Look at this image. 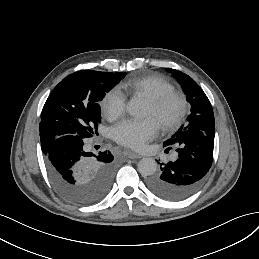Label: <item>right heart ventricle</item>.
Returning <instances> with one entry per match:
<instances>
[{
    "instance_id": "obj_1",
    "label": "right heart ventricle",
    "mask_w": 259,
    "mask_h": 259,
    "mask_svg": "<svg viewBox=\"0 0 259 259\" xmlns=\"http://www.w3.org/2000/svg\"><path fill=\"white\" fill-rule=\"evenodd\" d=\"M116 91L124 98L143 93L151 99L173 92L174 86L159 76H131L119 83Z\"/></svg>"
}]
</instances>
